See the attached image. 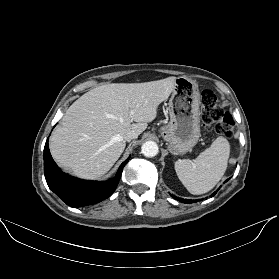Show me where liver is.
Returning <instances> with one entry per match:
<instances>
[{"instance_id": "1", "label": "liver", "mask_w": 279, "mask_h": 279, "mask_svg": "<svg viewBox=\"0 0 279 279\" xmlns=\"http://www.w3.org/2000/svg\"><path fill=\"white\" fill-rule=\"evenodd\" d=\"M176 77L145 83L106 84L77 99L50 138V151L80 178L104 175L123 153L127 132L141 134L168 99ZM136 123H132V122Z\"/></svg>"}]
</instances>
